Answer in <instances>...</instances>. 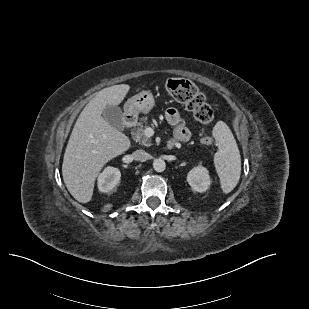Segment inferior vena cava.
I'll return each instance as SVG.
<instances>
[{
    "mask_svg": "<svg viewBox=\"0 0 309 309\" xmlns=\"http://www.w3.org/2000/svg\"><path fill=\"white\" fill-rule=\"evenodd\" d=\"M132 155L137 161H144L150 157L149 153L141 149L134 151Z\"/></svg>",
    "mask_w": 309,
    "mask_h": 309,
    "instance_id": "inferior-vena-cava-1",
    "label": "inferior vena cava"
}]
</instances>
